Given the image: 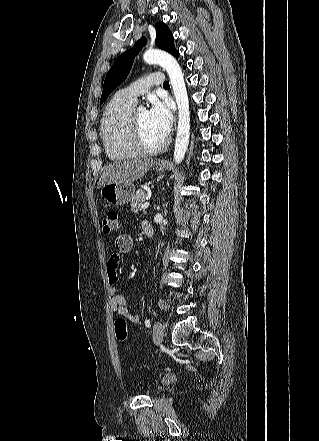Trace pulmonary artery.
<instances>
[{"label": "pulmonary artery", "instance_id": "obj_1", "mask_svg": "<svg viewBox=\"0 0 319 441\" xmlns=\"http://www.w3.org/2000/svg\"><path fill=\"white\" fill-rule=\"evenodd\" d=\"M164 84V76L162 73H151L136 82L132 83L127 88L121 90L119 94L133 102L136 103L137 98L140 95L145 94L151 87L153 86H163Z\"/></svg>", "mask_w": 319, "mask_h": 441}]
</instances>
